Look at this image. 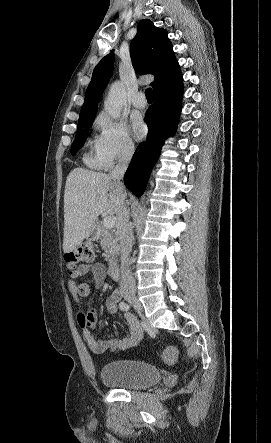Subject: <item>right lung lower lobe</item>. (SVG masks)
Wrapping results in <instances>:
<instances>
[{
  "instance_id": "right-lung-lower-lobe-1",
  "label": "right lung lower lobe",
  "mask_w": 271,
  "mask_h": 443,
  "mask_svg": "<svg viewBox=\"0 0 271 443\" xmlns=\"http://www.w3.org/2000/svg\"><path fill=\"white\" fill-rule=\"evenodd\" d=\"M182 82L183 78L153 92L154 103L145 115L147 139L137 147L124 176L126 187L137 197L145 190L164 140L176 131L183 98Z\"/></svg>"
}]
</instances>
